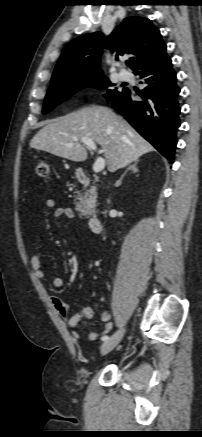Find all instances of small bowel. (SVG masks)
I'll list each match as a JSON object with an SVG mask.
<instances>
[{
    "label": "small bowel",
    "instance_id": "small-bowel-1",
    "mask_svg": "<svg viewBox=\"0 0 202 437\" xmlns=\"http://www.w3.org/2000/svg\"><path fill=\"white\" fill-rule=\"evenodd\" d=\"M46 206L49 209H54V217L56 219H73L75 218V213L73 209L64 206H57L55 199H47ZM32 271L36 278L43 279L45 277V272L42 269L41 257L38 254H34L31 258ZM63 285V280L60 277H55L53 279V286L55 288H60ZM52 306L59 316H61L68 327L72 328V337L75 339L80 338V333L75 328L78 326L81 319L91 320L93 318V310L90 307H83L74 314H70L68 305L58 296L52 295L50 297ZM111 314L108 311H103L101 314V320L103 322L100 333L106 335L112 330ZM98 332H90L86 335L89 340H95L98 337Z\"/></svg>",
    "mask_w": 202,
    "mask_h": 437
}]
</instances>
